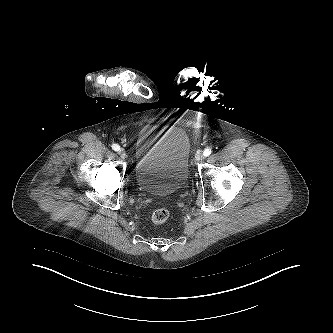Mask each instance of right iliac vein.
I'll list each match as a JSON object with an SVG mask.
<instances>
[{
	"label": "right iliac vein",
	"mask_w": 333,
	"mask_h": 333,
	"mask_svg": "<svg viewBox=\"0 0 333 333\" xmlns=\"http://www.w3.org/2000/svg\"><path fill=\"white\" fill-rule=\"evenodd\" d=\"M118 153L123 159L125 158L126 155L124 149H119Z\"/></svg>",
	"instance_id": "right-iliac-vein-1"
}]
</instances>
